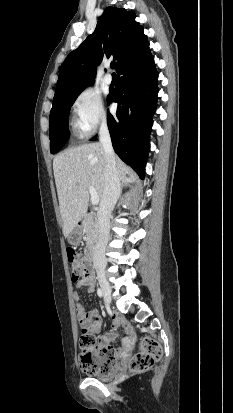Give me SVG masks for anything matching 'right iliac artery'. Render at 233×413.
Masks as SVG:
<instances>
[{"label":"right iliac artery","instance_id":"1","mask_svg":"<svg viewBox=\"0 0 233 413\" xmlns=\"http://www.w3.org/2000/svg\"><path fill=\"white\" fill-rule=\"evenodd\" d=\"M97 294H98L99 297H102V296H103L102 290H101L100 288H98Z\"/></svg>","mask_w":233,"mask_h":413}]
</instances>
